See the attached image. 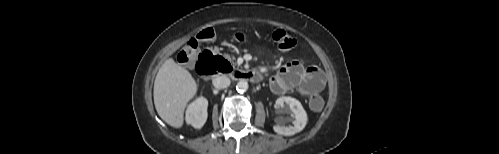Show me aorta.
<instances>
[{
  "label": "aorta",
  "instance_id": "aorta-1",
  "mask_svg": "<svg viewBox=\"0 0 499 154\" xmlns=\"http://www.w3.org/2000/svg\"><path fill=\"white\" fill-rule=\"evenodd\" d=\"M248 82L246 80H240L236 85V90L243 93L248 90Z\"/></svg>",
  "mask_w": 499,
  "mask_h": 154
}]
</instances>
